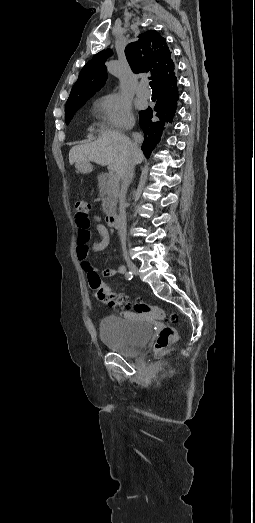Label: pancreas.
I'll return each instance as SVG.
<instances>
[{
    "instance_id": "1",
    "label": "pancreas",
    "mask_w": 255,
    "mask_h": 523,
    "mask_svg": "<svg viewBox=\"0 0 255 523\" xmlns=\"http://www.w3.org/2000/svg\"><path fill=\"white\" fill-rule=\"evenodd\" d=\"M119 182L118 174H99L98 186L100 198L102 200V208L106 216H112L116 212V206L119 196Z\"/></svg>"
}]
</instances>
